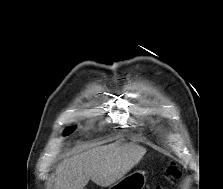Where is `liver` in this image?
<instances>
[{
	"instance_id": "1",
	"label": "liver",
	"mask_w": 223,
	"mask_h": 189,
	"mask_svg": "<svg viewBox=\"0 0 223 189\" xmlns=\"http://www.w3.org/2000/svg\"><path fill=\"white\" fill-rule=\"evenodd\" d=\"M145 153L146 149L141 146L119 143L77 152L58 164L50 189H84L89 180L108 187L124 177Z\"/></svg>"
}]
</instances>
